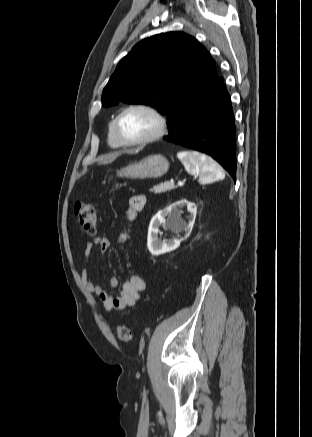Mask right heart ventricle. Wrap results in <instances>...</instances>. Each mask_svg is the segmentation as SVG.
Returning a JSON list of instances; mask_svg holds the SVG:
<instances>
[{
  "label": "right heart ventricle",
  "mask_w": 312,
  "mask_h": 437,
  "mask_svg": "<svg viewBox=\"0 0 312 437\" xmlns=\"http://www.w3.org/2000/svg\"><path fill=\"white\" fill-rule=\"evenodd\" d=\"M114 120L112 119L109 123L108 126V144L112 147V148H121L124 146V144H122V142L119 140L115 129H114Z\"/></svg>",
  "instance_id": "right-heart-ventricle-1"
}]
</instances>
